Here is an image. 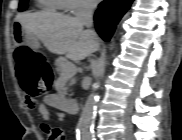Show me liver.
<instances>
[{"label": "liver", "mask_w": 182, "mask_h": 140, "mask_svg": "<svg viewBox=\"0 0 182 140\" xmlns=\"http://www.w3.org/2000/svg\"><path fill=\"white\" fill-rule=\"evenodd\" d=\"M16 19L26 35L37 37L51 53L66 54L68 58L80 61L99 48L98 37L93 40L76 17L41 11L20 14Z\"/></svg>", "instance_id": "liver-1"}]
</instances>
